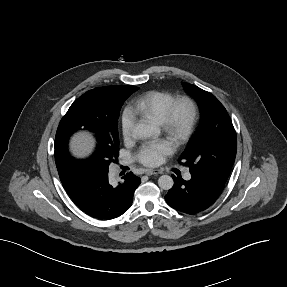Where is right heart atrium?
Here are the masks:
<instances>
[{
    "label": "right heart atrium",
    "instance_id": "obj_1",
    "mask_svg": "<svg viewBox=\"0 0 287 287\" xmlns=\"http://www.w3.org/2000/svg\"><path fill=\"white\" fill-rule=\"evenodd\" d=\"M136 117L131 109H125L121 116V130L125 139H129L134 134Z\"/></svg>",
    "mask_w": 287,
    "mask_h": 287
}]
</instances>
